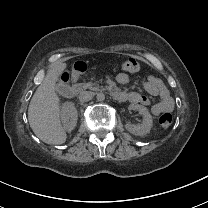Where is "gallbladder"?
Returning a JSON list of instances; mask_svg holds the SVG:
<instances>
[{"label": "gallbladder", "mask_w": 208, "mask_h": 208, "mask_svg": "<svg viewBox=\"0 0 208 208\" xmlns=\"http://www.w3.org/2000/svg\"><path fill=\"white\" fill-rule=\"evenodd\" d=\"M55 93L62 98H67L71 94V89L62 83L55 86Z\"/></svg>", "instance_id": "bac80fb5"}]
</instances>
